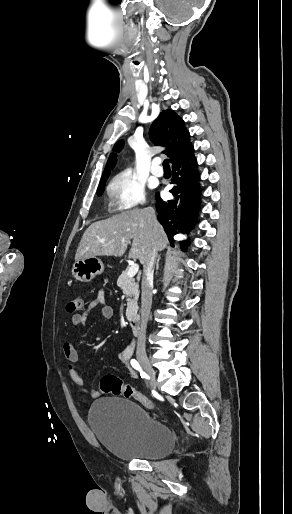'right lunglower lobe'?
Masks as SVG:
<instances>
[{"label":"right lung lower lobe","instance_id":"right-lung-lower-lobe-1","mask_svg":"<svg viewBox=\"0 0 292 514\" xmlns=\"http://www.w3.org/2000/svg\"><path fill=\"white\" fill-rule=\"evenodd\" d=\"M174 184L169 191L175 200L163 201L156 193V210L158 220L173 243V236L178 231H187L197 223L198 212L201 209L200 176L194 153L178 161L172 166ZM181 248L188 247L187 241H181Z\"/></svg>","mask_w":292,"mask_h":514}]
</instances>
